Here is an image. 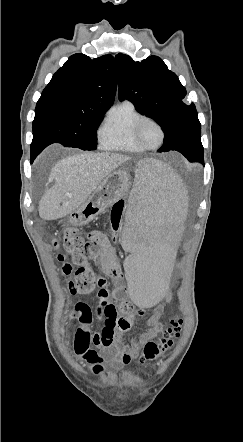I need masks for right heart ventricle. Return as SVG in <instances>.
Segmentation results:
<instances>
[{"label":"right heart ventricle","mask_w":243,"mask_h":442,"mask_svg":"<svg viewBox=\"0 0 243 442\" xmlns=\"http://www.w3.org/2000/svg\"><path fill=\"white\" fill-rule=\"evenodd\" d=\"M144 114L131 101H123L113 106L107 113L98 137L102 147L110 151L143 153L133 135L135 123Z\"/></svg>","instance_id":"obj_1"}]
</instances>
